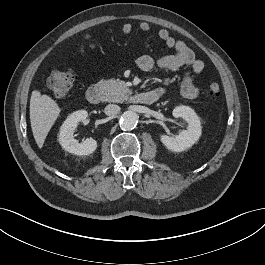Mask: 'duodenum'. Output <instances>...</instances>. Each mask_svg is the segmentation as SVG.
Instances as JSON below:
<instances>
[{
	"label": "duodenum",
	"mask_w": 265,
	"mask_h": 265,
	"mask_svg": "<svg viewBox=\"0 0 265 265\" xmlns=\"http://www.w3.org/2000/svg\"><path fill=\"white\" fill-rule=\"evenodd\" d=\"M162 95L155 91L136 92L131 101L138 104L151 105L159 101ZM86 99L91 104H98L102 99V91L98 85L90 86L86 91Z\"/></svg>",
	"instance_id": "obj_1"
}]
</instances>
